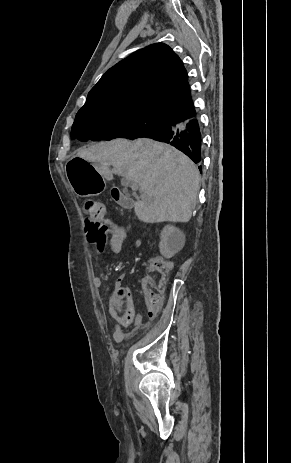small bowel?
Segmentation results:
<instances>
[{
    "label": "small bowel",
    "instance_id": "c3829d8e",
    "mask_svg": "<svg viewBox=\"0 0 291 463\" xmlns=\"http://www.w3.org/2000/svg\"><path fill=\"white\" fill-rule=\"evenodd\" d=\"M127 239L126 231L123 227L117 225L110 219H104L102 221V227L100 229H88L85 234L86 243L93 247L98 253H103L108 242V247L111 253L119 254L122 250L123 244ZM141 246L140 240H134L131 243L132 248H139ZM123 276H119L115 282V288L111 290L113 292L121 284ZM95 282L98 286L102 284L100 277L95 278ZM128 313L123 317L120 322L116 325L113 332V339L116 343L123 340L124 332L122 326L132 324L135 327H139L143 323V316L141 313H134L132 299L128 298ZM150 319L153 317L148 316Z\"/></svg>",
    "mask_w": 291,
    "mask_h": 463
}]
</instances>
